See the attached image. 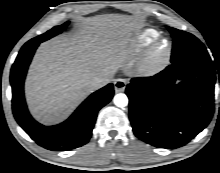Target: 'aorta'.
<instances>
[{"mask_svg":"<svg viewBox=\"0 0 220 173\" xmlns=\"http://www.w3.org/2000/svg\"><path fill=\"white\" fill-rule=\"evenodd\" d=\"M113 101L117 107L122 108L128 105V97L123 93L116 94Z\"/></svg>","mask_w":220,"mask_h":173,"instance_id":"1","label":"aorta"}]
</instances>
